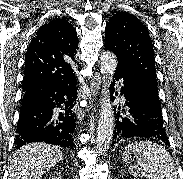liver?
Instances as JSON below:
<instances>
[{"label": "liver", "instance_id": "6515ba94", "mask_svg": "<svg viewBox=\"0 0 183 179\" xmlns=\"http://www.w3.org/2000/svg\"><path fill=\"white\" fill-rule=\"evenodd\" d=\"M62 160V152L46 143L27 144L12 157L8 179H40Z\"/></svg>", "mask_w": 183, "mask_h": 179}]
</instances>
